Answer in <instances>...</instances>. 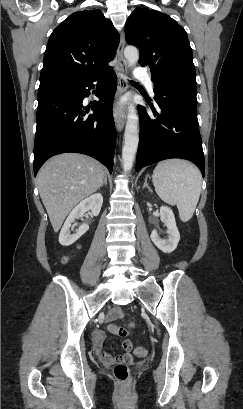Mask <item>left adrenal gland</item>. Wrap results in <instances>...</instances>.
Wrapping results in <instances>:
<instances>
[{
  "label": "left adrenal gland",
  "mask_w": 243,
  "mask_h": 409,
  "mask_svg": "<svg viewBox=\"0 0 243 409\" xmlns=\"http://www.w3.org/2000/svg\"><path fill=\"white\" fill-rule=\"evenodd\" d=\"M142 188H143V189H144V188H147V189L151 192V188H150V186H149L148 183H147V177L145 178L144 185H143Z\"/></svg>",
  "instance_id": "left-adrenal-gland-1"
}]
</instances>
